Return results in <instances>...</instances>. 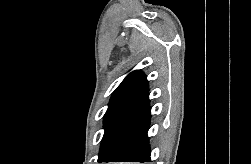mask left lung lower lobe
Instances as JSON below:
<instances>
[{"instance_id":"left-lung-lower-lobe-1","label":"left lung lower lobe","mask_w":251,"mask_h":164,"mask_svg":"<svg viewBox=\"0 0 251 164\" xmlns=\"http://www.w3.org/2000/svg\"><path fill=\"white\" fill-rule=\"evenodd\" d=\"M147 92L129 111L115 137L114 149L101 162H151L149 129L151 108Z\"/></svg>"}]
</instances>
